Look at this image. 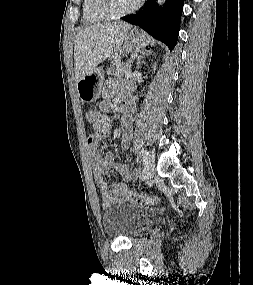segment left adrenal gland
<instances>
[{"label":"left adrenal gland","instance_id":"left-adrenal-gland-1","mask_svg":"<svg viewBox=\"0 0 253 285\" xmlns=\"http://www.w3.org/2000/svg\"><path fill=\"white\" fill-rule=\"evenodd\" d=\"M151 54V51L150 50H146V51H143L141 53V55L138 57L137 59V69H139L140 65H141V59H143L145 56H148Z\"/></svg>","mask_w":253,"mask_h":285}]
</instances>
